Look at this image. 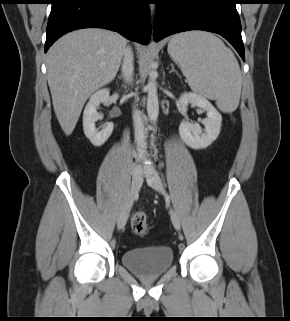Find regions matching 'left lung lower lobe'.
Instances as JSON below:
<instances>
[{
	"mask_svg": "<svg viewBox=\"0 0 290 321\" xmlns=\"http://www.w3.org/2000/svg\"><path fill=\"white\" fill-rule=\"evenodd\" d=\"M238 0H156L154 40L188 30H204L227 39L245 61Z\"/></svg>",
	"mask_w": 290,
	"mask_h": 321,
	"instance_id": "1",
	"label": "left lung lower lobe"
}]
</instances>
